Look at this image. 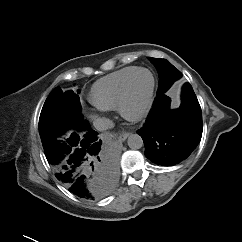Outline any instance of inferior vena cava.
Instances as JSON below:
<instances>
[{"instance_id": "1", "label": "inferior vena cava", "mask_w": 242, "mask_h": 242, "mask_svg": "<svg viewBox=\"0 0 242 242\" xmlns=\"http://www.w3.org/2000/svg\"><path fill=\"white\" fill-rule=\"evenodd\" d=\"M93 125L98 131H105L114 127L113 121L105 117L95 119Z\"/></svg>"}]
</instances>
